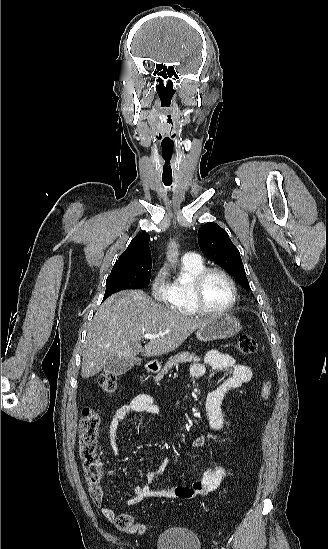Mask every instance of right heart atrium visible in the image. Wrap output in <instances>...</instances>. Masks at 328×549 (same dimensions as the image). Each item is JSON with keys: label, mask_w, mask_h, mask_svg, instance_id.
I'll return each mask as SVG.
<instances>
[{"label": "right heart atrium", "mask_w": 328, "mask_h": 549, "mask_svg": "<svg viewBox=\"0 0 328 549\" xmlns=\"http://www.w3.org/2000/svg\"><path fill=\"white\" fill-rule=\"evenodd\" d=\"M167 275L168 272L164 265H160L152 271L149 281L150 303H161L167 290Z\"/></svg>", "instance_id": "1"}]
</instances>
